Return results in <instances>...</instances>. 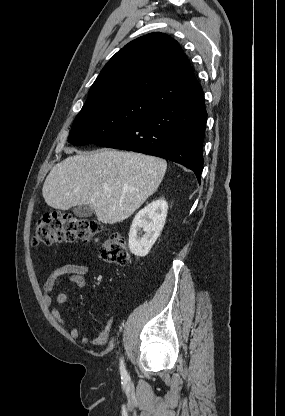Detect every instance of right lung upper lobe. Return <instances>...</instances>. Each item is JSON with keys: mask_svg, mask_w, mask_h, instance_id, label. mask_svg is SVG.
I'll return each mask as SVG.
<instances>
[{"mask_svg": "<svg viewBox=\"0 0 285 416\" xmlns=\"http://www.w3.org/2000/svg\"><path fill=\"white\" fill-rule=\"evenodd\" d=\"M202 88L178 42L155 32L118 51L89 90L83 108L138 96L160 106L196 95Z\"/></svg>", "mask_w": 285, "mask_h": 416, "instance_id": "right-lung-upper-lobe-1", "label": "right lung upper lobe"}]
</instances>
